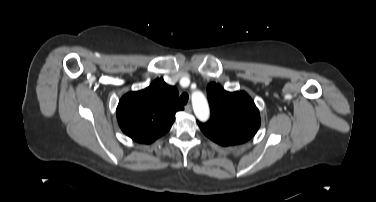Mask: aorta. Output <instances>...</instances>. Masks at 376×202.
Here are the masks:
<instances>
[{"label": "aorta", "mask_w": 376, "mask_h": 202, "mask_svg": "<svg viewBox=\"0 0 376 202\" xmlns=\"http://www.w3.org/2000/svg\"><path fill=\"white\" fill-rule=\"evenodd\" d=\"M192 105L198 120L207 121L210 115L209 106L205 96L201 92H194L192 95Z\"/></svg>", "instance_id": "aorta-1"}]
</instances>
